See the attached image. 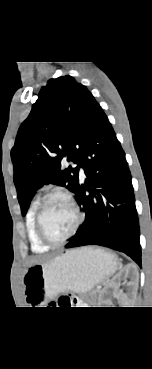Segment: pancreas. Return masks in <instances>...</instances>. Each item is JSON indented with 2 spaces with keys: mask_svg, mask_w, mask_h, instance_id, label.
<instances>
[{
  "mask_svg": "<svg viewBox=\"0 0 152 369\" xmlns=\"http://www.w3.org/2000/svg\"><path fill=\"white\" fill-rule=\"evenodd\" d=\"M99 293V291L97 290H92L91 293H90V296H91V299L89 301L91 302H95L96 299H97V294Z\"/></svg>",
  "mask_w": 152,
  "mask_h": 369,
  "instance_id": "obj_1",
  "label": "pancreas"
}]
</instances>
